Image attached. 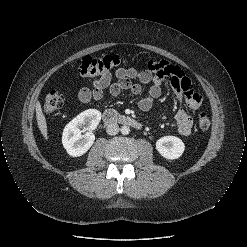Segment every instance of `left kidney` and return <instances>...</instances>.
Wrapping results in <instances>:
<instances>
[{
	"label": "left kidney",
	"instance_id": "obj_1",
	"mask_svg": "<svg viewBox=\"0 0 247 247\" xmlns=\"http://www.w3.org/2000/svg\"><path fill=\"white\" fill-rule=\"evenodd\" d=\"M156 149L166 159H178L185 150L183 141L176 136H164L157 140Z\"/></svg>",
	"mask_w": 247,
	"mask_h": 247
}]
</instances>
